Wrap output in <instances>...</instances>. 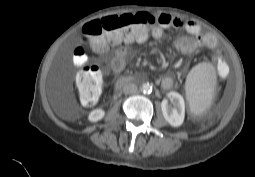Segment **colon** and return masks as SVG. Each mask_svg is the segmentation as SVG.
<instances>
[{"instance_id":"1","label":"colon","mask_w":255,"mask_h":177,"mask_svg":"<svg viewBox=\"0 0 255 177\" xmlns=\"http://www.w3.org/2000/svg\"><path fill=\"white\" fill-rule=\"evenodd\" d=\"M166 26L162 15L147 12L128 13L93 20L82 29V45L73 51L74 63L79 67L76 88L80 100L85 105L95 104L102 91V75L98 67L87 64L88 55L84 44L92 43L96 49L118 46L143 38L149 30L158 33Z\"/></svg>"}]
</instances>
